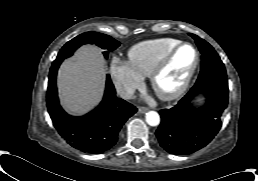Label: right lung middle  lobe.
<instances>
[{
	"label": "right lung middle lobe",
	"instance_id": "right-lung-middle-lobe-1",
	"mask_svg": "<svg viewBox=\"0 0 258 181\" xmlns=\"http://www.w3.org/2000/svg\"><path fill=\"white\" fill-rule=\"evenodd\" d=\"M87 43L96 44L104 49L105 58L108 57L109 51L115 50L120 45V42L108 35L98 32H86L67 42L58 53L56 59L63 60L71 56L78 47Z\"/></svg>",
	"mask_w": 258,
	"mask_h": 181
}]
</instances>
